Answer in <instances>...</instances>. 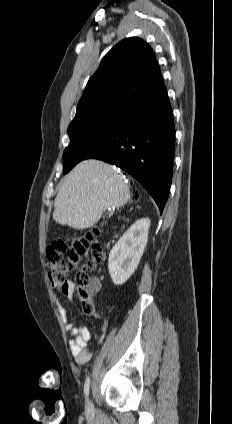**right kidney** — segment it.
<instances>
[{"mask_svg": "<svg viewBox=\"0 0 232 424\" xmlns=\"http://www.w3.org/2000/svg\"><path fill=\"white\" fill-rule=\"evenodd\" d=\"M150 219L136 221L109 254L108 269L115 285H122L134 273L147 244Z\"/></svg>", "mask_w": 232, "mask_h": 424, "instance_id": "1", "label": "right kidney"}]
</instances>
